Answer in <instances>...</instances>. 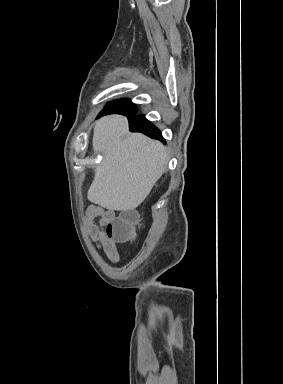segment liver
I'll list each match as a JSON object with an SVG mask.
<instances>
[{"instance_id":"obj_1","label":"liver","mask_w":283,"mask_h":384,"mask_svg":"<svg viewBox=\"0 0 283 384\" xmlns=\"http://www.w3.org/2000/svg\"><path fill=\"white\" fill-rule=\"evenodd\" d=\"M92 146L104 158L95 170L87 198L110 212L138 208L166 170L163 144L143 134H130L124 116L97 120Z\"/></svg>"}]
</instances>
